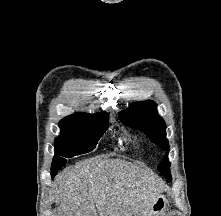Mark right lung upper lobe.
<instances>
[{"label": "right lung upper lobe", "mask_w": 221, "mask_h": 216, "mask_svg": "<svg viewBox=\"0 0 221 216\" xmlns=\"http://www.w3.org/2000/svg\"><path fill=\"white\" fill-rule=\"evenodd\" d=\"M103 115H105L104 112H102L101 114L76 113V114L70 115V116L62 119L59 123V126H63L67 123H70V122L80 119V118L99 117V116H103Z\"/></svg>", "instance_id": "cb5924a9"}]
</instances>
